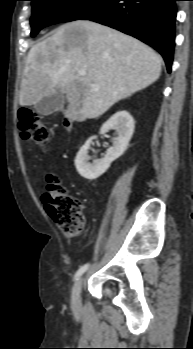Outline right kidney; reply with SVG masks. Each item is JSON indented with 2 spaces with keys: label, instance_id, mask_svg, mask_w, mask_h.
I'll return each instance as SVG.
<instances>
[{
  "label": "right kidney",
  "instance_id": "right-kidney-1",
  "mask_svg": "<svg viewBox=\"0 0 193 349\" xmlns=\"http://www.w3.org/2000/svg\"><path fill=\"white\" fill-rule=\"evenodd\" d=\"M113 128L116 129L117 138L113 146L107 150L104 158L95 160L93 163L88 162L90 159L88 149L96 136L89 138L77 153L75 167L82 177L89 180L97 179L107 171L113 161L126 151L134 132V120L129 112L118 111L101 127L100 131L104 134Z\"/></svg>",
  "mask_w": 193,
  "mask_h": 349
}]
</instances>
